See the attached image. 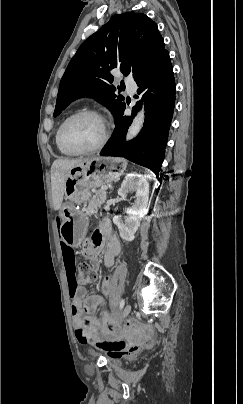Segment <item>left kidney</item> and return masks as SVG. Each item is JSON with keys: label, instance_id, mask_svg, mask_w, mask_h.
<instances>
[{"label": "left kidney", "instance_id": "left-kidney-1", "mask_svg": "<svg viewBox=\"0 0 243 404\" xmlns=\"http://www.w3.org/2000/svg\"><path fill=\"white\" fill-rule=\"evenodd\" d=\"M129 192H136L134 198H136L131 208H126L125 212L128 214L125 222L122 220V216H114L113 222L116 224L120 236L124 242H132L134 240L137 230L140 228V222L147 212L148 200H149V184L142 174L137 172H131L127 174L125 180L121 184V188L118 190V196L125 198Z\"/></svg>", "mask_w": 243, "mask_h": 404}]
</instances>
